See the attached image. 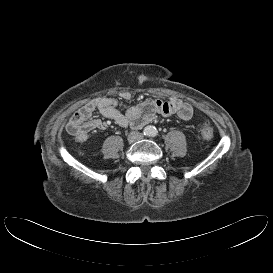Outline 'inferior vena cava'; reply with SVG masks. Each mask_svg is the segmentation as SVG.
<instances>
[{"label": "inferior vena cava", "instance_id": "1", "mask_svg": "<svg viewBox=\"0 0 273 273\" xmlns=\"http://www.w3.org/2000/svg\"><path fill=\"white\" fill-rule=\"evenodd\" d=\"M134 136H137V138H141L142 137V134L141 133H138V132H131L130 135H129V140H133Z\"/></svg>", "mask_w": 273, "mask_h": 273}]
</instances>
